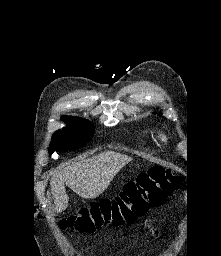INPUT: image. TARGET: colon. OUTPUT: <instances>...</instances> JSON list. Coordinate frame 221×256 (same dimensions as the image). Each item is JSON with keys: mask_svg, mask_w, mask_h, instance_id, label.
Masks as SVG:
<instances>
[{"mask_svg": "<svg viewBox=\"0 0 221 256\" xmlns=\"http://www.w3.org/2000/svg\"><path fill=\"white\" fill-rule=\"evenodd\" d=\"M181 185V179L161 166H152L128 182L113 198L82 208L61 222L63 229L93 233L105 225L121 226L144 216L150 207L160 206Z\"/></svg>", "mask_w": 221, "mask_h": 256, "instance_id": "colon-1", "label": "colon"}]
</instances>
